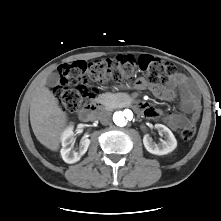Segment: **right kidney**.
<instances>
[{
  "instance_id": "ca27d5eb",
  "label": "right kidney",
  "mask_w": 221,
  "mask_h": 221,
  "mask_svg": "<svg viewBox=\"0 0 221 221\" xmlns=\"http://www.w3.org/2000/svg\"><path fill=\"white\" fill-rule=\"evenodd\" d=\"M61 142H62L61 156L66 163L72 164L79 161L80 158L86 153L90 144V139L83 137L81 139L78 151L74 150L73 125H70L63 131L61 135Z\"/></svg>"
}]
</instances>
